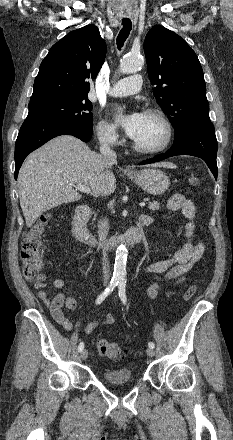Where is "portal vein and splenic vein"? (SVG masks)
<instances>
[{"instance_id":"18ae733b","label":"portal vein and splenic vein","mask_w":233,"mask_h":440,"mask_svg":"<svg viewBox=\"0 0 233 440\" xmlns=\"http://www.w3.org/2000/svg\"><path fill=\"white\" fill-rule=\"evenodd\" d=\"M75 188H76V190H79L81 192H84V193H87V194H91L90 188L85 186V185H76ZM145 205H146L145 202L139 203L140 207H144Z\"/></svg>"}]
</instances>
